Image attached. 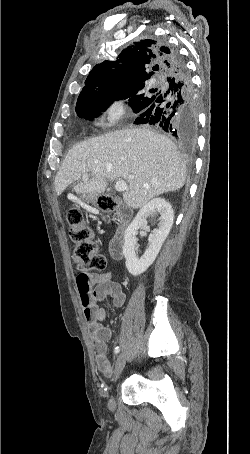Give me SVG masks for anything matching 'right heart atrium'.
Here are the masks:
<instances>
[{"mask_svg":"<svg viewBox=\"0 0 250 454\" xmlns=\"http://www.w3.org/2000/svg\"><path fill=\"white\" fill-rule=\"evenodd\" d=\"M125 114V106L119 101H113L103 109L99 124L104 128H114L124 118Z\"/></svg>","mask_w":250,"mask_h":454,"instance_id":"d8ad5b80","label":"right heart atrium"}]
</instances>
